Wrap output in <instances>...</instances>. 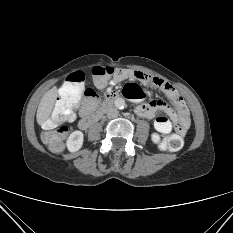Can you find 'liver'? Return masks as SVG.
<instances>
[{
	"label": "liver",
	"mask_w": 233,
	"mask_h": 233,
	"mask_svg": "<svg viewBox=\"0 0 233 233\" xmlns=\"http://www.w3.org/2000/svg\"><path fill=\"white\" fill-rule=\"evenodd\" d=\"M57 97L58 89L56 86H54L41 98L36 114V119L39 125H43L49 118Z\"/></svg>",
	"instance_id": "6515ba94"
}]
</instances>
